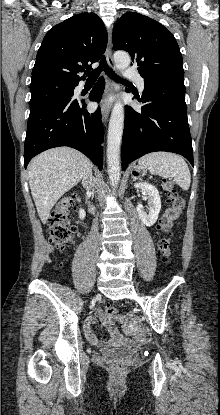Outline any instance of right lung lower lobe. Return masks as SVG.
Instances as JSON below:
<instances>
[{
	"mask_svg": "<svg viewBox=\"0 0 220 415\" xmlns=\"http://www.w3.org/2000/svg\"><path fill=\"white\" fill-rule=\"evenodd\" d=\"M77 86V84H76ZM105 87L101 77L89 94L100 101ZM104 130L101 110H86L85 99L73 94L30 110L24 147V166L37 154L58 146H69L84 153L99 170L103 166Z\"/></svg>",
	"mask_w": 220,
	"mask_h": 415,
	"instance_id": "obj_1",
	"label": "right lung lower lobe"
}]
</instances>
